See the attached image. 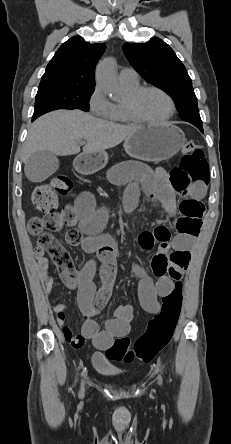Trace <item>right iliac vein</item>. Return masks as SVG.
<instances>
[{"instance_id":"1","label":"right iliac vein","mask_w":231,"mask_h":444,"mask_svg":"<svg viewBox=\"0 0 231 444\" xmlns=\"http://www.w3.org/2000/svg\"><path fill=\"white\" fill-rule=\"evenodd\" d=\"M84 391H85V383L84 381L81 383V388H80V392H79V396L83 397L84 395Z\"/></svg>"}]
</instances>
